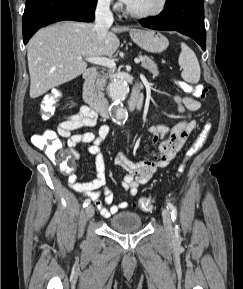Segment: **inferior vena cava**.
<instances>
[{
	"label": "inferior vena cava",
	"instance_id": "obj_1",
	"mask_svg": "<svg viewBox=\"0 0 243 289\" xmlns=\"http://www.w3.org/2000/svg\"><path fill=\"white\" fill-rule=\"evenodd\" d=\"M111 0H98L95 11V26L97 37L102 40L106 37L108 29L112 25L114 18L110 11Z\"/></svg>",
	"mask_w": 243,
	"mask_h": 289
}]
</instances>
